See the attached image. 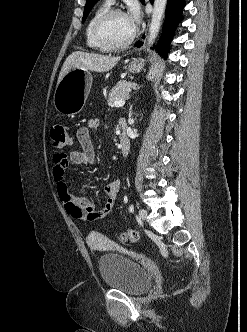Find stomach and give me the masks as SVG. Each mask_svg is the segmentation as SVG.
Masks as SVG:
<instances>
[{
  "label": "stomach",
  "instance_id": "obj_1",
  "mask_svg": "<svg viewBox=\"0 0 247 332\" xmlns=\"http://www.w3.org/2000/svg\"><path fill=\"white\" fill-rule=\"evenodd\" d=\"M141 68V63L134 62L128 66V71L137 73ZM156 69L155 66L151 70L150 75L152 77L156 74ZM92 81L93 78L89 71L81 68L70 69L55 89L53 99L55 109L68 117L78 114L88 98Z\"/></svg>",
  "mask_w": 247,
  "mask_h": 332
}]
</instances>
